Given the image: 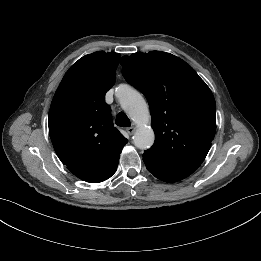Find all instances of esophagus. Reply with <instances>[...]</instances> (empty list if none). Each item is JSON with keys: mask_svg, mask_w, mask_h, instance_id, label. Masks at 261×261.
<instances>
[{"mask_svg": "<svg viewBox=\"0 0 261 261\" xmlns=\"http://www.w3.org/2000/svg\"><path fill=\"white\" fill-rule=\"evenodd\" d=\"M126 131H127V133H128L129 135H132V134L135 132V127H134V126L128 127V128L126 129Z\"/></svg>", "mask_w": 261, "mask_h": 261, "instance_id": "34e87169", "label": "esophagus"}]
</instances>
